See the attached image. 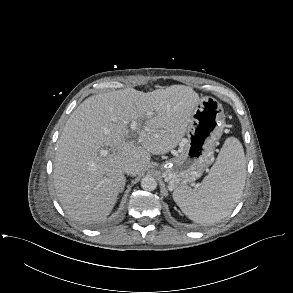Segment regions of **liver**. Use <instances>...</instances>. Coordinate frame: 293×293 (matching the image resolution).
<instances>
[{
  "label": "liver",
  "instance_id": "liver-1",
  "mask_svg": "<svg viewBox=\"0 0 293 293\" xmlns=\"http://www.w3.org/2000/svg\"><path fill=\"white\" fill-rule=\"evenodd\" d=\"M199 102V95L184 85L146 93L129 88L84 100L57 142L53 178L65 212L82 223L104 220L125 186L123 166L134 164L132 175H137L152 154L174 149ZM133 121L134 130L129 129ZM103 148L108 149L105 156L99 153Z\"/></svg>",
  "mask_w": 293,
  "mask_h": 293
}]
</instances>
